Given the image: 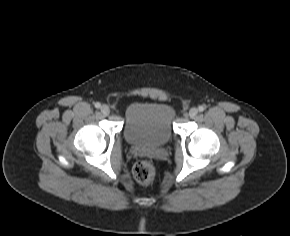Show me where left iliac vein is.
<instances>
[{"label": "left iliac vein", "instance_id": "left-iliac-vein-1", "mask_svg": "<svg viewBox=\"0 0 290 236\" xmlns=\"http://www.w3.org/2000/svg\"><path fill=\"white\" fill-rule=\"evenodd\" d=\"M197 114H198V109H197V108H191V109L189 110V116H190L191 118H194L195 116H197Z\"/></svg>", "mask_w": 290, "mask_h": 236}]
</instances>
